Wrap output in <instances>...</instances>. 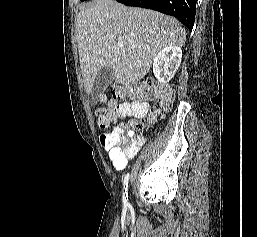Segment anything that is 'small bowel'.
<instances>
[{
    "mask_svg": "<svg viewBox=\"0 0 257 237\" xmlns=\"http://www.w3.org/2000/svg\"><path fill=\"white\" fill-rule=\"evenodd\" d=\"M147 111L148 104L146 102H125L112 106L109 110V116L110 120L117 125L119 121L129 117L142 118L147 114ZM118 132H121V128L116 126L112 133ZM128 135L131 138V142L127 146H123L122 143L114 146L105 145V150L117 171H121L126 167L128 160L135 155L145 141L142 136H134L132 131Z\"/></svg>",
    "mask_w": 257,
    "mask_h": 237,
    "instance_id": "1",
    "label": "small bowel"
}]
</instances>
